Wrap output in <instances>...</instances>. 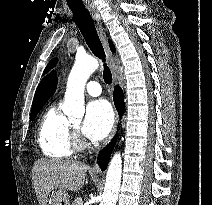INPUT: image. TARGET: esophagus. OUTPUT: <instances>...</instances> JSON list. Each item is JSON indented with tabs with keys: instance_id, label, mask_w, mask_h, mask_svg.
<instances>
[{
	"instance_id": "esophagus-1",
	"label": "esophagus",
	"mask_w": 212,
	"mask_h": 205,
	"mask_svg": "<svg viewBox=\"0 0 212 205\" xmlns=\"http://www.w3.org/2000/svg\"><path fill=\"white\" fill-rule=\"evenodd\" d=\"M86 7H87L88 11L90 12L93 20L95 21V25H96L99 37L101 39V42L103 44V47H104V50H105V53H106V56H107V59H108V62H109V66H110V69H111V72H112L113 83L115 85L116 82H117L116 59H115L113 53L111 52V50L109 48L105 29H104L102 22H101L100 14L98 13L97 9L95 8V6L92 3H87ZM117 125H118V115L116 116L114 128H113L109 138L107 139L105 145L108 144L110 142V140L113 138L115 131H116V128H117ZM92 172L93 173L99 172V168L96 164L93 166Z\"/></svg>"
}]
</instances>
